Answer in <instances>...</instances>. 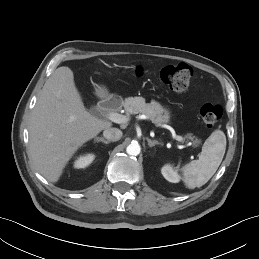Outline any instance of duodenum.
Here are the masks:
<instances>
[{"label":"duodenum","mask_w":259,"mask_h":259,"mask_svg":"<svg viewBox=\"0 0 259 259\" xmlns=\"http://www.w3.org/2000/svg\"><path fill=\"white\" fill-rule=\"evenodd\" d=\"M120 106H121V100L115 96L103 98L99 102V107L105 111L118 109Z\"/></svg>","instance_id":"obj_1"}]
</instances>
